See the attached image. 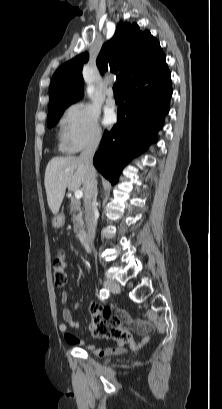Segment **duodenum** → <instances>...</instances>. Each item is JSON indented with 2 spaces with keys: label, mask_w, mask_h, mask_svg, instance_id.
I'll return each instance as SVG.
<instances>
[{
  "label": "duodenum",
  "mask_w": 222,
  "mask_h": 409,
  "mask_svg": "<svg viewBox=\"0 0 222 409\" xmlns=\"http://www.w3.org/2000/svg\"><path fill=\"white\" fill-rule=\"evenodd\" d=\"M79 239H80V242H81L82 246L84 247V249L87 252H90L91 244H90V240H89L88 236L84 232L81 231L79 233Z\"/></svg>",
  "instance_id": "410a0bca"
}]
</instances>
